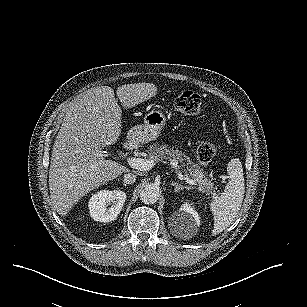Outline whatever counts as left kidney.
Instances as JSON below:
<instances>
[{"mask_svg":"<svg viewBox=\"0 0 307 307\" xmlns=\"http://www.w3.org/2000/svg\"><path fill=\"white\" fill-rule=\"evenodd\" d=\"M172 232L174 235L189 239L193 237L201 224L200 214L190 201H184L177 212L173 213Z\"/></svg>","mask_w":307,"mask_h":307,"instance_id":"1","label":"left kidney"}]
</instances>
